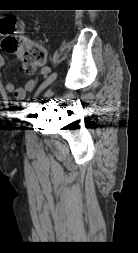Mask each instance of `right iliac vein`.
Instances as JSON below:
<instances>
[{"label": "right iliac vein", "instance_id": "right-iliac-vein-1", "mask_svg": "<svg viewBox=\"0 0 138 253\" xmlns=\"http://www.w3.org/2000/svg\"><path fill=\"white\" fill-rule=\"evenodd\" d=\"M56 79V74L52 73L38 88L35 96H38L41 91H43L49 84H51Z\"/></svg>", "mask_w": 138, "mask_h": 253}]
</instances>
